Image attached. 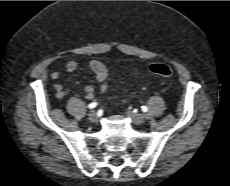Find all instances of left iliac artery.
Segmentation results:
<instances>
[{"label": "left iliac artery", "instance_id": "44dca946", "mask_svg": "<svg viewBox=\"0 0 230 186\" xmlns=\"http://www.w3.org/2000/svg\"><path fill=\"white\" fill-rule=\"evenodd\" d=\"M141 108H142L143 112H147L148 111V107H146V106H142Z\"/></svg>", "mask_w": 230, "mask_h": 186}]
</instances>
